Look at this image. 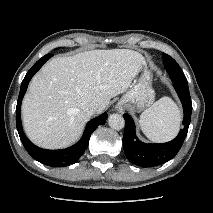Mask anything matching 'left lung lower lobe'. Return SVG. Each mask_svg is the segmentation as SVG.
<instances>
[{"label":"left lung lower lobe","mask_w":213,"mask_h":213,"mask_svg":"<svg viewBox=\"0 0 213 213\" xmlns=\"http://www.w3.org/2000/svg\"><path fill=\"white\" fill-rule=\"evenodd\" d=\"M174 88L182 102L184 109V128L180 130L178 136L163 144H146L138 140L135 135V124L131 116L124 114L126 122L123 148L129 161L140 167L157 166L174 158L180 150L188 132L192 102L188 86L174 84Z\"/></svg>","instance_id":"0a47b994"}]
</instances>
